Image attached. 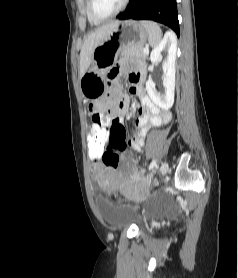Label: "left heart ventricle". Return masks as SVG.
Masks as SVG:
<instances>
[{
	"label": "left heart ventricle",
	"mask_w": 238,
	"mask_h": 278,
	"mask_svg": "<svg viewBox=\"0 0 238 278\" xmlns=\"http://www.w3.org/2000/svg\"><path fill=\"white\" fill-rule=\"evenodd\" d=\"M123 0H95L94 9L100 16L114 12L121 5Z\"/></svg>",
	"instance_id": "1"
}]
</instances>
